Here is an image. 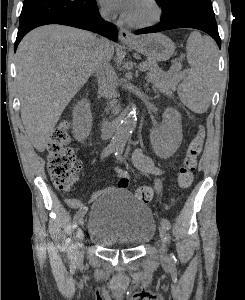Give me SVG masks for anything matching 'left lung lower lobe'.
<instances>
[{
	"label": "left lung lower lobe",
	"instance_id": "obj_1",
	"mask_svg": "<svg viewBox=\"0 0 245 300\" xmlns=\"http://www.w3.org/2000/svg\"><path fill=\"white\" fill-rule=\"evenodd\" d=\"M176 28H194L208 33L221 48V39L217 23L213 14L190 8H180L161 22L156 27L139 29L135 34H147Z\"/></svg>",
	"mask_w": 245,
	"mask_h": 300
}]
</instances>
